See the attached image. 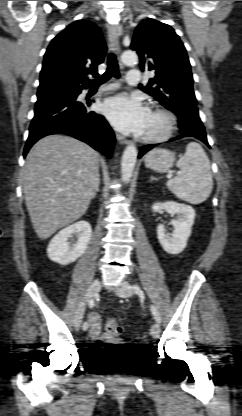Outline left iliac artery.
<instances>
[{"instance_id":"44dca946","label":"left iliac artery","mask_w":242,"mask_h":416,"mask_svg":"<svg viewBox=\"0 0 242 416\" xmlns=\"http://www.w3.org/2000/svg\"><path fill=\"white\" fill-rule=\"evenodd\" d=\"M132 288H133L136 292H140V287H139L138 285H133V286H132ZM151 311H152V313H153V315H154L155 320H156L158 323H160V322H161V318H160L159 312L157 311L156 307L152 305V306H151Z\"/></svg>"}]
</instances>
